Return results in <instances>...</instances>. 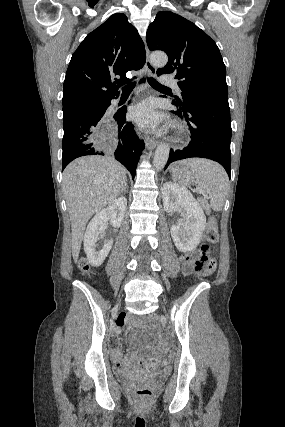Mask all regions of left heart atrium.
Here are the masks:
<instances>
[{"label":"left heart atrium","instance_id":"obj_1","mask_svg":"<svg viewBox=\"0 0 285 427\" xmlns=\"http://www.w3.org/2000/svg\"><path fill=\"white\" fill-rule=\"evenodd\" d=\"M130 117L142 127H156L163 120L153 102L149 100L134 105L130 110Z\"/></svg>","mask_w":285,"mask_h":427}]
</instances>
